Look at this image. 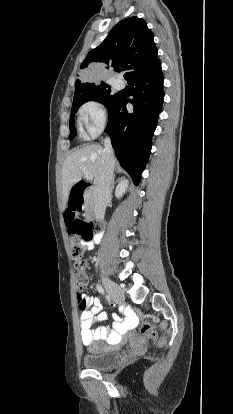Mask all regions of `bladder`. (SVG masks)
Returning <instances> with one entry per match:
<instances>
[{
	"mask_svg": "<svg viewBox=\"0 0 233 414\" xmlns=\"http://www.w3.org/2000/svg\"><path fill=\"white\" fill-rule=\"evenodd\" d=\"M120 359L116 350L99 347H91L90 353L84 355L82 362L86 369L106 370L113 367Z\"/></svg>",
	"mask_w": 233,
	"mask_h": 414,
	"instance_id": "obj_1",
	"label": "bladder"
}]
</instances>
